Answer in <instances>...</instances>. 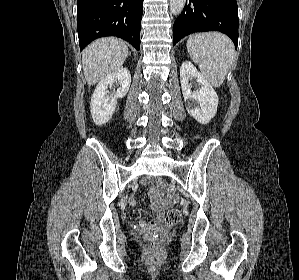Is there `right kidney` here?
<instances>
[{"instance_id": "ca27d5eb", "label": "right kidney", "mask_w": 299, "mask_h": 280, "mask_svg": "<svg viewBox=\"0 0 299 280\" xmlns=\"http://www.w3.org/2000/svg\"><path fill=\"white\" fill-rule=\"evenodd\" d=\"M115 82H118L120 87L116 92L111 93L108 88ZM130 83V72L123 67L110 73L98 83L90 102L91 115L96 125L106 124L112 118L117 99L127 94Z\"/></svg>"}]
</instances>
